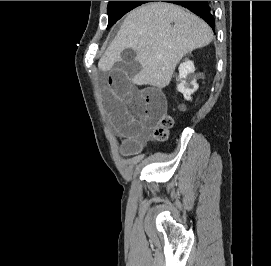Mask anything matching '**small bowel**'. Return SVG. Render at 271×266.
I'll return each instance as SVG.
<instances>
[{"mask_svg":"<svg viewBox=\"0 0 271 266\" xmlns=\"http://www.w3.org/2000/svg\"><path fill=\"white\" fill-rule=\"evenodd\" d=\"M102 103L123 138V154L138 152L149 138L151 124L166 111L164 94L135 83L139 65L130 57L105 67Z\"/></svg>","mask_w":271,"mask_h":266,"instance_id":"small-bowel-1","label":"small bowel"}]
</instances>
